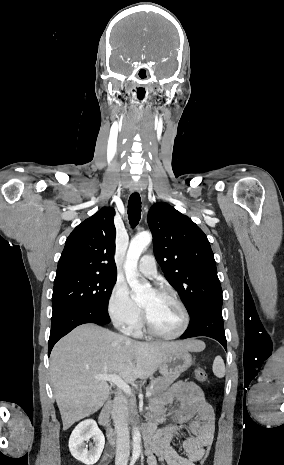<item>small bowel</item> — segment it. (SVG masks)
<instances>
[{
  "mask_svg": "<svg viewBox=\"0 0 284 465\" xmlns=\"http://www.w3.org/2000/svg\"><path fill=\"white\" fill-rule=\"evenodd\" d=\"M145 428L151 434L146 442L148 465H158L157 460L167 465H195L204 456L205 447L213 443L215 415L197 384L179 381L155 401ZM182 428L188 436L182 441L181 454L172 440Z\"/></svg>",
  "mask_w": 284,
  "mask_h": 465,
  "instance_id": "obj_1",
  "label": "small bowel"
}]
</instances>
